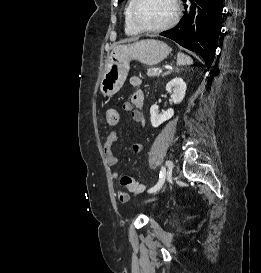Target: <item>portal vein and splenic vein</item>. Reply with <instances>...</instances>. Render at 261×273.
I'll return each mask as SVG.
<instances>
[{
  "label": "portal vein and splenic vein",
  "mask_w": 261,
  "mask_h": 273,
  "mask_svg": "<svg viewBox=\"0 0 261 273\" xmlns=\"http://www.w3.org/2000/svg\"><path fill=\"white\" fill-rule=\"evenodd\" d=\"M158 72H159V73H162V69H158Z\"/></svg>",
  "instance_id": "obj_1"
}]
</instances>
